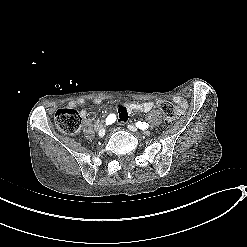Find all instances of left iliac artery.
<instances>
[{
	"mask_svg": "<svg viewBox=\"0 0 247 247\" xmlns=\"http://www.w3.org/2000/svg\"><path fill=\"white\" fill-rule=\"evenodd\" d=\"M136 126H137V128H139L141 130H147L149 128V124L146 122H142V121L136 122Z\"/></svg>",
	"mask_w": 247,
	"mask_h": 247,
	"instance_id": "44dca946",
	"label": "left iliac artery"
}]
</instances>
